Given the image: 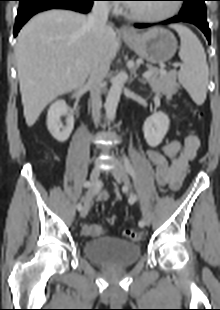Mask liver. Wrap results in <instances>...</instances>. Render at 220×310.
Here are the masks:
<instances>
[{"instance_id": "obj_1", "label": "liver", "mask_w": 220, "mask_h": 310, "mask_svg": "<svg viewBox=\"0 0 220 310\" xmlns=\"http://www.w3.org/2000/svg\"><path fill=\"white\" fill-rule=\"evenodd\" d=\"M94 35L85 15L50 10L20 31L15 57L26 124L31 127L58 96L81 88L90 73ZM118 40L107 27L106 50L116 56Z\"/></svg>"}]
</instances>
